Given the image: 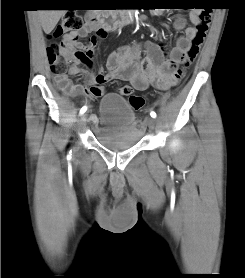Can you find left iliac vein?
I'll list each match as a JSON object with an SVG mask.
<instances>
[{"instance_id":"obj_1","label":"left iliac vein","mask_w":245,"mask_h":278,"mask_svg":"<svg viewBox=\"0 0 245 278\" xmlns=\"http://www.w3.org/2000/svg\"><path fill=\"white\" fill-rule=\"evenodd\" d=\"M146 122H147V125H148V127L150 128V129H154L155 128V119H153V118H148L147 120H146Z\"/></svg>"}]
</instances>
